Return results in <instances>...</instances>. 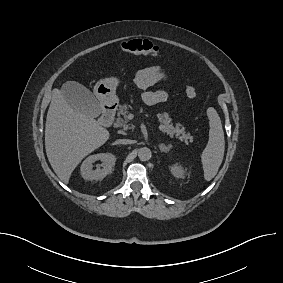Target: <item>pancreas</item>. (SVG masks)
Wrapping results in <instances>:
<instances>
[{"mask_svg":"<svg viewBox=\"0 0 283 283\" xmlns=\"http://www.w3.org/2000/svg\"><path fill=\"white\" fill-rule=\"evenodd\" d=\"M127 105H122L119 108L118 117L116 119L115 125L117 127H123L124 130L129 129L127 124V114H128ZM158 121L160 122L159 129L171 137L175 135L180 140L187 142L188 140L192 141L193 137L189 133H186L185 128L181 124H172V119L169 117L167 112L157 114Z\"/></svg>","mask_w":283,"mask_h":283,"instance_id":"pancreas-1","label":"pancreas"}]
</instances>
